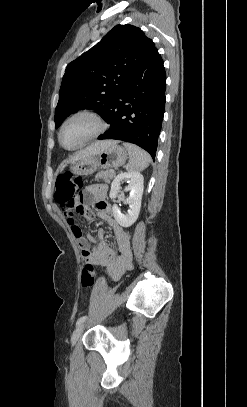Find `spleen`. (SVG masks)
Segmentation results:
<instances>
[{"label":"spleen","instance_id":"3e777b00","mask_svg":"<svg viewBox=\"0 0 247 407\" xmlns=\"http://www.w3.org/2000/svg\"><path fill=\"white\" fill-rule=\"evenodd\" d=\"M123 146L129 153V163L126 166L128 171H141L148 167L151 162L149 154L140 147L124 142Z\"/></svg>","mask_w":247,"mask_h":407}]
</instances>
